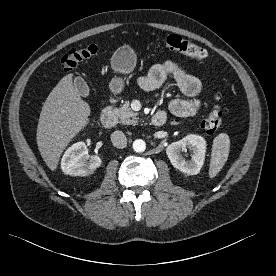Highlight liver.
<instances>
[{"label":"liver","instance_id":"1","mask_svg":"<svg viewBox=\"0 0 276 276\" xmlns=\"http://www.w3.org/2000/svg\"><path fill=\"white\" fill-rule=\"evenodd\" d=\"M72 77V74L64 76L53 88L38 121V149L52 171L57 169L69 142L89 123L90 106L80 97Z\"/></svg>","mask_w":276,"mask_h":276}]
</instances>
